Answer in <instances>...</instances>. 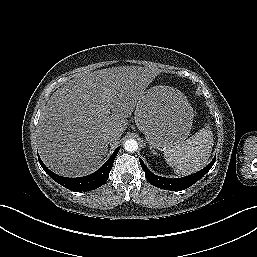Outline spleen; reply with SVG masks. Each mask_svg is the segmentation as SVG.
<instances>
[{
    "instance_id": "obj_1",
    "label": "spleen",
    "mask_w": 257,
    "mask_h": 257,
    "mask_svg": "<svg viewBox=\"0 0 257 257\" xmlns=\"http://www.w3.org/2000/svg\"><path fill=\"white\" fill-rule=\"evenodd\" d=\"M213 143V133L206 125L186 141L164 150V157L177 175H189L208 164Z\"/></svg>"
}]
</instances>
